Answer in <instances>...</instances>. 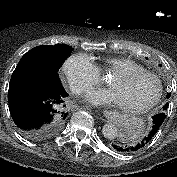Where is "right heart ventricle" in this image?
Instances as JSON below:
<instances>
[{
  "label": "right heart ventricle",
  "mask_w": 177,
  "mask_h": 177,
  "mask_svg": "<svg viewBox=\"0 0 177 177\" xmlns=\"http://www.w3.org/2000/svg\"><path fill=\"white\" fill-rule=\"evenodd\" d=\"M97 67L103 73L115 74L118 72L132 71V70H145L142 65L130 58L117 57L105 59Z\"/></svg>",
  "instance_id": "1"
}]
</instances>
